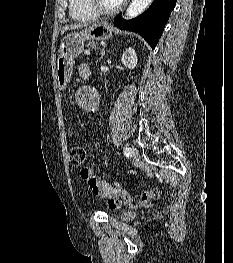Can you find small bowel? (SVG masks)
<instances>
[{"label": "small bowel", "instance_id": "c3829d8e", "mask_svg": "<svg viewBox=\"0 0 233 263\" xmlns=\"http://www.w3.org/2000/svg\"><path fill=\"white\" fill-rule=\"evenodd\" d=\"M85 72H90L89 67L87 65H81L79 67V75L82 76V74ZM85 172H87L88 176L84 175ZM80 175L87 181L89 188L93 194L103 196L108 199L110 208L115 209L119 207L120 202L117 200V191L112 187L111 184L99 177H96L91 166L82 168L80 171ZM90 178L93 179V182L89 181Z\"/></svg>", "mask_w": 233, "mask_h": 263}]
</instances>
